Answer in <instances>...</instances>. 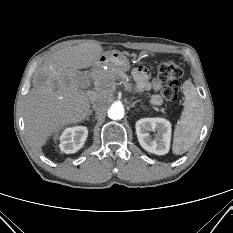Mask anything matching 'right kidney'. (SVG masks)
Listing matches in <instances>:
<instances>
[{"instance_id":"1","label":"right kidney","mask_w":233,"mask_h":233,"mask_svg":"<svg viewBox=\"0 0 233 233\" xmlns=\"http://www.w3.org/2000/svg\"><path fill=\"white\" fill-rule=\"evenodd\" d=\"M88 129L84 126L66 128L61 136L60 150L66 154H72L81 149L87 139Z\"/></svg>"}]
</instances>
